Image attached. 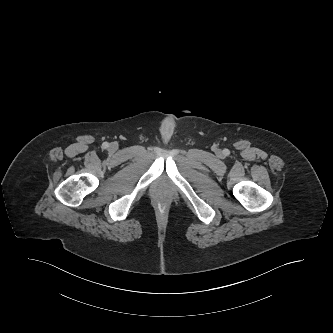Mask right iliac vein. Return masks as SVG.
Returning a JSON list of instances; mask_svg holds the SVG:
<instances>
[{
  "label": "right iliac vein",
  "instance_id": "63e3f726",
  "mask_svg": "<svg viewBox=\"0 0 333 333\" xmlns=\"http://www.w3.org/2000/svg\"><path fill=\"white\" fill-rule=\"evenodd\" d=\"M110 149H111V150H116V149H117V145H116L115 143H112V144L110 145Z\"/></svg>",
  "mask_w": 333,
  "mask_h": 333
}]
</instances>
